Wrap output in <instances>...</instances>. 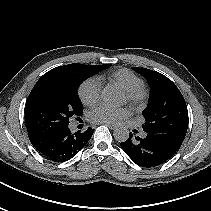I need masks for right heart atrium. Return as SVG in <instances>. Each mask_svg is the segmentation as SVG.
<instances>
[{"label": "right heart atrium", "mask_w": 211, "mask_h": 211, "mask_svg": "<svg viewBox=\"0 0 211 211\" xmlns=\"http://www.w3.org/2000/svg\"><path fill=\"white\" fill-rule=\"evenodd\" d=\"M101 82L98 78L91 77L86 79L79 87V97L87 106L95 105L101 96Z\"/></svg>", "instance_id": "d8ad5b80"}]
</instances>
